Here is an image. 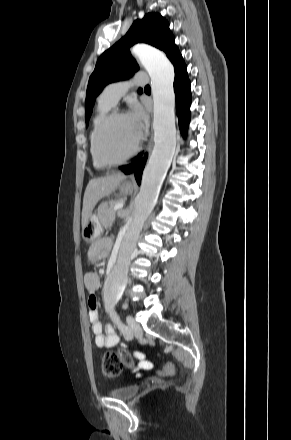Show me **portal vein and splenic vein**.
<instances>
[{
  "mask_svg": "<svg viewBox=\"0 0 291 440\" xmlns=\"http://www.w3.org/2000/svg\"><path fill=\"white\" fill-rule=\"evenodd\" d=\"M123 208V204H117L114 206V210H119Z\"/></svg>",
  "mask_w": 291,
  "mask_h": 440,
  "instance_id": "18ae733b",
  "label": "portal vein and splenic vein"
}]
</instances>
